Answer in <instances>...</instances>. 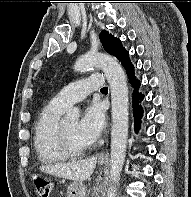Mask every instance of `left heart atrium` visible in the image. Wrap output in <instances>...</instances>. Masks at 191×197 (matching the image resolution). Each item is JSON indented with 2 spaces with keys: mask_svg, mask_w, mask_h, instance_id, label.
<instances>
[{
  "mask_svg": "<svg viewBox=\"0 0 191 197\" xmlns=\"http://www.w3.org/2000/svg\"><path fill=\"white\" fill-rule=\"evenodd\" d=\"M105 125L104 111L100 104L88 105L78 123V138L86 145L95 142Z\"/></svg>",
  "mask_w": 191,
  "mask_h": 197,
  "instance_id": "39dd6f15",
  "label": "left heart atrium"
}]
</instances>
